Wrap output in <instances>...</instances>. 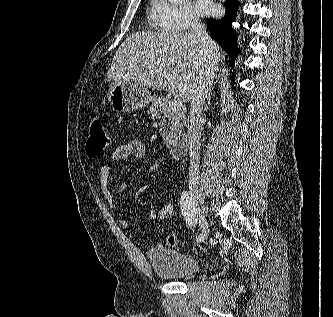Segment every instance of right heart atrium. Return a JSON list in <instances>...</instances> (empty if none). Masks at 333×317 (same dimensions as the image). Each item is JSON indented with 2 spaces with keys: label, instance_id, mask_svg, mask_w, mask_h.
Wrapping results in <instances>:
<instances>
[{
  "label": "right heart atrium",
  "instance_id": "right-heart-atrium-1",
  "mask_svg": "<svg viewBox=\"0 0 333 317\" xmlns=\"http://www.w3.org/2000/svg\"><path fill=\"white\" fill-rule=\"evenodd\" d=\"M154 20L165 32H181L198 25L199 21L188 1L178 4L168 0H155Z\"/></svg>",
  "mask_w": 333,
  "mask_h": 317
}]
</instances>
